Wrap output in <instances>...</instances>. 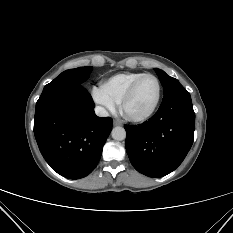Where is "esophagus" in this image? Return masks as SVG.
<instances>
[{
	"label": "esophagus",
	"mask_w": 233,
	"mask_h": 233,
	"mask_svg": "<svg viewBox=\"0 0 233 233\" xmlns=\"http://www.w3.org/2000/svg\"><path fill=\"white\" fill-rule=\"evenodd\" d=\"M113 125H114V126L122 125V122L119 121V120H115V121L113 122Z\"/></svg>",
	"instance_id": "1"
}]
</instances>
